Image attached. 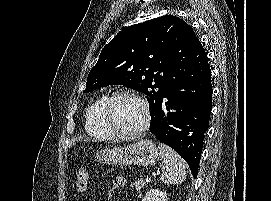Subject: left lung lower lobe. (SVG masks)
<instances>
[{
	"instance_id": "left-lung-lower-lobe-1",
	"label": "left lung lower lobe",
	"mask_w": 271,
	"mask_h": 201,
	"mask_svg": "<svg viewBox=\"0 0 271 201\" xmlns=\"http://www.w3.org/2000/svg\"><path fill=\"white\" fill-rule=\"evenodd\" d=\"M211 109V70L207 53L193 29L184 27L175 44L166 91L150 132L185 159L194 178Z\"/></svg>"
}]
</instances>
